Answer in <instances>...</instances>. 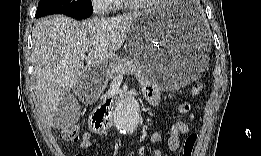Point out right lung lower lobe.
<instances>
[{"label":"right lung lower lobe","instance_id":"right-lung-lower-lobe-1","mask_svg":"<svg viewBox=\"0 0 261 156\" xmlns=\"http://www.w3.org/2000/svg\"><path fill=\"white\" fill-rule=\"evenodd\" d=\"M92 12H89V11H77V12H74L72 13V15H69V16H72L76 19H85V18H88L89 16H91Z\"/></svg>","mask_w":261,"mask_h":156}]
</instances>
